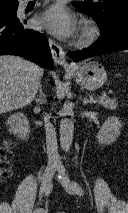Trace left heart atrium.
Here are the masks:
<instances>
[{"instance_id":"left-heart-atrium-1","label":"left heart atrium","mask_w":128,"mask_h":213,"mask_svg":"<svg viewBox=\"0 0 128 213\" xmlns=\"http://www.w3.org/2000/svg\"><path fill=\"white\" fill-rule=\"evenodd\" d=\"M36 26L60 38H69L76 31L73 15L61 4H55L36 18Z\"/></svg>"}]
</instances>
